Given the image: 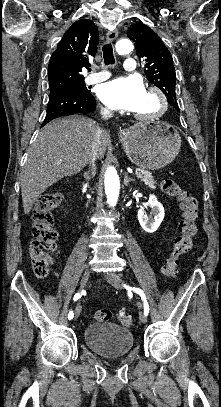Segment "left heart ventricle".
<instances>
[{
	"label": "left heart ventricle",
	"mask_w": 221,
	"mask_h": 407,
	"mask_svg": "<svg viewBox=\"0 0 221 407\" xmlns=\"http://www.w3.org/2000/svg\"><path fill=\"white\" fill-rule=\"evenodd\" d=\"M157 109L158 102L156 97L146 91L139 107L134 112L139 114H151Z\"/></svg>",
	"instance_id": "obj_1"
}]
</instances>
